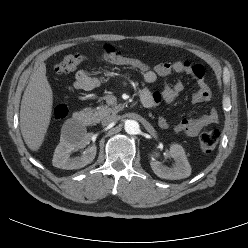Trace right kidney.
<instances>
[{
	"label": "right kidney",
	"mask_w": 248,
	"mask_h": 248,
	"mask_svg": "<svg viewBox=\"0 0 248 248\" xmlns=\"http://www.w3.org/2000/svg\"><path fill=\"white\" fill-rule=\"evenodd\" d=\"M85 130H80L78 133H62L60 143L55 149L53 156V166L61 169L72 170L80 169L90 164L96 156V146L93 145L87 148L80 157H70V153L74 149L83 148L87 145L84 140Z\"/></svg>",
	"instance_id": "1"
}]
</instances>
